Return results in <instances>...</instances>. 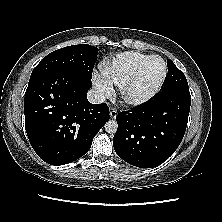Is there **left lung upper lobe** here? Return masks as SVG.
Returning <instances> with one entry per match:
<instances>
[{
	"label": "left lung upper lobe",
	"mask_w": 222,
	"mask_h": 222,
	"mask_svg": "<svg viewBox=\"0 0 222 222\" xmlns=\"http://www.w3.org/2000/svg\"><path fill=\"white\" fill-rule=\"evenodd\" d=\"M168 75L163 89L172 87H188L185 75L179 70L176 65L170 60H167Z\"/></svg>",
	"instance_id": "left-lung-upper-lobe-1"
}]
</instances>
